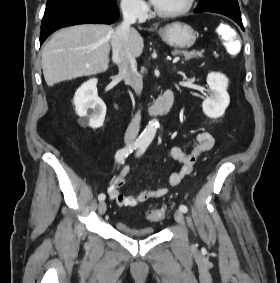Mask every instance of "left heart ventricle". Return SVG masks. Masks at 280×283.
<instances>
[{
	"label": "left heart ventricle",
	"mask_w": 280,
	"mask_h": 283,
	"mask_svg": "<svg viewBox=\"0 0 280 283\" xmlns=\"http://www.w3.org/2000/svg\"><path fill=\"white\" fill-rule=\"evenodd\" d=\"M186 0H158L155 7L162 12L175 11L185 4Z\"/></svg>",
	"instance_id": "left-heart-ventricle-1"
}]
</instances>
